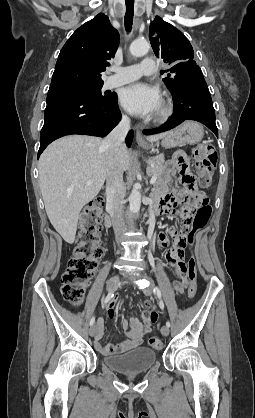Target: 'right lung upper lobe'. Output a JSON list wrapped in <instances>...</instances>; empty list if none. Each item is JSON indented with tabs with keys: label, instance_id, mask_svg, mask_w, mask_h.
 <instances>
[{
	"label": "right lung upper lobe",
	"instance_id": "cb5924a9",
	"mask_svg": "<svg viewBox=\"0 0 255 418\" xmlns=\"http://www.w3.org/2000/svg\"><path fill=\"white\" fill-rule=\"evenodd\" d=\"M119 33L99 13L79 27L60 51L50 87L71 83H102L101 73L114 57Z\"/></svg>",
	"mask_w": 255,
	"mask_h": 418
}]
</instances>
